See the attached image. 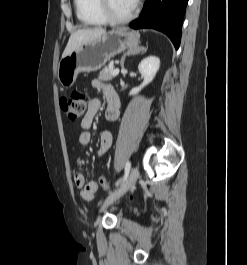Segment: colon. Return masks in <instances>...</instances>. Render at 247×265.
Wrapping results in <instances>:
<instances>
[{
    "label": "colon",
    "mask_w": 247,
    "mask_h": 265,
    "mask_svg": "<svg viewBox=\"0 0 247 265\" xmlns=\"http://www.w3.org/2000/svg\"><path fill=\"white\" fill-rule=\"evenodd\" d=\"M87 103V95L79 90H74L68 96L60 99L62 110L72 121H75L84 115L87 109ZM99 185L105 190H110L111 188L110 180L104 175L99 177Z\"/></svg>",
    "instance_id": "5ec220e1"
}]
</instances>
